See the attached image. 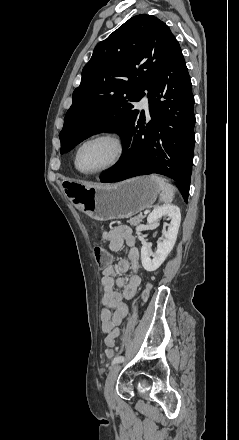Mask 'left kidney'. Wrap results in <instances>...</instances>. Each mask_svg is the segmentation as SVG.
Instances as JSON below:
<instances>
[{"instance_id":"left-kidney-1","label":"left kidney","mask_w":239,"mask_h":440,"mask_svg":"<svg viewBox=\"0 0 239 440\" xmlns=\"http://www.w3.org/2000/svg\"><path fill=\"white\" fill-rule=\"evenodd\" d=\"M160 218H169L171 220L167 232H163L162 242H158L155 254H151V246L144 244L141 248V262L146 272H155L165 262L168 254L174 248L176 242L181 214L178 206L173 204H163L159 208H154L153 212L147 218L148 224H156ZM153 256V258H151Z\"/></svg>"}]
</instances>
